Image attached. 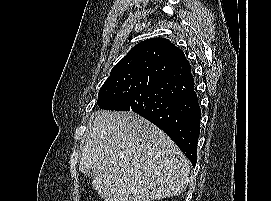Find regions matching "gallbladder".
<instances>
[{"label":"gallbladder","mask_w":271,"mask_h":201,"mask_svg":"<svg viewBox=\"0 0 271 201\" xmlns=\"http://www.w3.org/2000/svg\"><path fill=\"white\" fill-rule=\"evenodd\" d=\"M84 176L91 177L92 176V170H89L86 173H84Z\"/></svg>","instance_id":"bac80fb5"}]
</instances>
